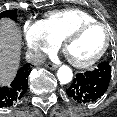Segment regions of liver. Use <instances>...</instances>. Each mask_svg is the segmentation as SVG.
<instances>
[{
  "mask_svg": "<svg viewBox=\"0 0 117 117\" xmlns=\"http://www.w3.org/2000/svg\"><path fill=\"white\" fill-rule=\"evenodd\" d=\"M22 34L11 19L0 20V85L9 84L18 69Z\"/></svg>",
  "mask_w": 117,
  "mask_h": 117,
  "instance_id": "obj_1",
  "label": "liver"
}]
</instances>
